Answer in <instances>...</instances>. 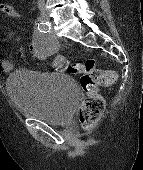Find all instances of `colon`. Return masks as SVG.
Masks as SVG:
<instances>
[{"label":"colon","instance_id":"colon-1","mask_svg":"<svg viewBox=\"0 0 143 170\" xmlns=\"http://www.w3.org/2000/svg\"><path fill=\"white\" fill-rule=\"evenodd\" d=\"M57 68L67 69L65 61L61 57L57 58ZM68 69L72 74L80 76L85 97L79 111V120L84 128H90L101 119L105 109V102L98 93V88L114 84L117 75L112 70L100 69L95 59L73 64Z\"/></svg>","mask_w":143,"mask_h":170}]
</instances>
